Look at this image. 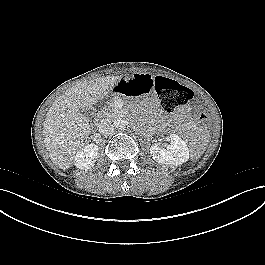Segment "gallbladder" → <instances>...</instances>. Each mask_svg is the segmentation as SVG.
<instances>
[{
	"label": "gallbladder",
	"mask_w": 265,
	"mask_h": 265,
	"mask_svg": "<svg viewBox=\"0 0 265 265\" xmlns=\"http://www.w3.org/2000/svg\"><path fill=\"white\" fill-rule=\"evenodd\" d=\"M81 112L88 118L93 119L95 117V113L91 109H81Z\"/></svg>",
	"instance_id": "1"
}]
</instances>
